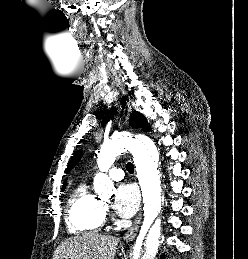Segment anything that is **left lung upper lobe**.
Here are the masks:
<instances>
[{"label": "left lung upper lobe", "instance_id": "5c2ea615", "mask_svg": "<svg viewBox=\"0 0 248 259\" xmlns=\"http://www.w3.org/2000/svg\"><path fill=\"white\" fill-rule=\"evenodd\" d=\"M130 125L133 127V128H139L142 126V128L145 130V131H149L150 128L147 124V120L146 118L141 114V113H138V112H133V114L131 115V119H130ZM81 154L82 152L79 151L77 153L74 154L70 164L68 165L67 167V172L75 165L78 163V161L80 160L81 158Z\"/></svg>", "mask_w": 248, "mask_h": 259}]
</instances>
